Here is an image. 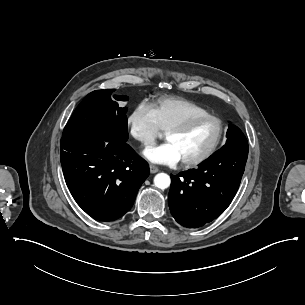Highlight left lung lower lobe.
Instances as JSON below:
<instances>
[{"mask_svg": "<svg viewBox=\"0 0 305 305\" xmlns=\"http://www.w3.org/2000/svg\"><path fill=\"white\" fill-rule=\"evenodd\" d=\"M248 157V145L222 148L198 169L171 176L170 212L184 227L198 228L222 214L232 202Z\"/></svg>", "mask_w": 305, "mask_h": 305, "instance_id": "obj_1", "label": "left lung lower lobe"}]
</instances>
